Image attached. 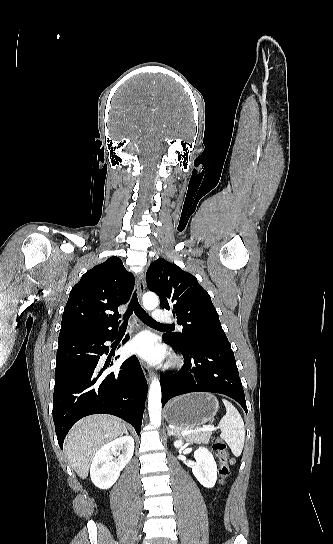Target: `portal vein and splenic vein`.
Listing matches in <instances>:
<instances>
[{"label":"portal vein and splenic vein","mask_w":333,"mask_h":544,"mask_svg":"<svg viewBox=\"0 0 333 544\" xmlns=\"http://www.w3.org/2000/svg\"><path fill=\"white\" fill-rule=\"evenodd\" d=\"M213 428H207L205 426L201 427V428H198L196 430H188V431H183L182 434L185 435L187 433H192V432H198V431H212Z\"/></svg>","instance_id":"obj_1"}]
</instances>
